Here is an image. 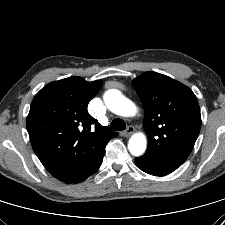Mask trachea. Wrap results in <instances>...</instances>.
Here are the masks:
<instances>
[{
    "label": "trachea",
    "mask_w": 225,
    "mask_h": 225,
    "mask_svg": "<svg viewBox=\"0 0 225 225\" xmlns=\"http://www.w3.org/2000/svg\"><path fill=\"white\" fill-rule=\"evenodd\" d=\"M125 129H126V123L124 120L120 118H115L109 126V130L111 131H121Z\"/></svg>",
    "instance_id": "obj_1"
}]
</instances>
